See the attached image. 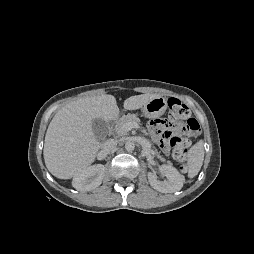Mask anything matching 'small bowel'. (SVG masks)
<instances>
[{
    "mask_svg": "<svg viewBox=\"0 0 254 254\" xmlns=\"http://www.w3.org/2000/svg\"><path fill=\"white\" fill-rule=\"evenodd\" d=\"M171 126L172 124L166 122L165 119L152 121L149 125L153 138L160 143V145L164 148L165 151L167 150V147L166 144L162 142V131Z\"/></svg>",
    "mask_w": 254,
    "mask_h": 254,
    "instance_id": "1",
    "label": "small bowel"
}]
</instances>
